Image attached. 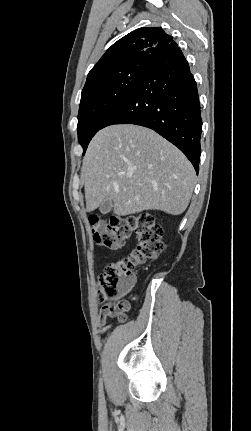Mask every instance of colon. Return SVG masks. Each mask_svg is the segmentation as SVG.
Masks as SVG:
<instances>
[{
	"label": "colon",
	"mask_w": 251,
	"mask_h": 431,
	"mask_svg": "<svg viewBox=\"0 0 251 431\" xmlns=\"http://www.w3.org/2000/svg\"><path fill=\"white\" fill-rule=\"evenodd\" d=\"M89 223L94 241L108 250L121 248L133 235L137 239V246L131 253L110 263L98 280V299L104 303L103 309L123 323L130 305L128 301L120 298L133 284L134 269L162 253L163 229L155 218L146 212L112 217L109 221L91 215Z\"/></svg>",
	"instance_id": "1"
}]
</instances>
